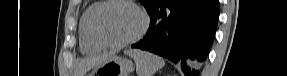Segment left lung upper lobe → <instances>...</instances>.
Returning <instances> with one entry per match:
<instances>
[{
  "mask_svg": "<svg viewBox=\"0 0 287 76\" xmlns=\"http://www.w3.org/2000/svg\"><path fill=\"white\" fill-rule=\"evenodd\" d=\"M150 14L154 8L160 5L165 0H139Z\"/></svg>",
  "mask_w": 287,
  "mask_h": 76,
  "instance_id": "obj_1",
  "label": "left lung upper lobe"
}]
</instances>
